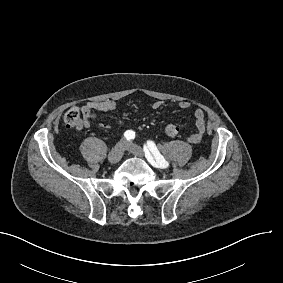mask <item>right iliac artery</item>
<instances>
[{"label":"right iliac artery","mask_w":283,"mask_h":283,"mask_svg":"<svg viewBox=\"0 0 283 283\" xmlns=\"http://www.w3.org/2000/svg\"><path fill=\"white\" fill-rule=\"evenodd\" d=\"M124 136L127 140H132L135 138V132L132 131V130H127L125 133H124Z\"/></svg>","instance_id":"right-iliac-artery-1"}]
</instances>
